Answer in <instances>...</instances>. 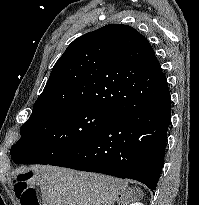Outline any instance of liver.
Here are the masks:
<instances>
[{
	"instance_id": "6515ba94",
	"label": "liver",
	"mask_w": 199,
	"mask_h": 205,
	"mask_svg": "<svg viewBox=\"0 0 199 205\" xmlns=\"http://www.w3.org/2000/svg\"><path fill=\"white\" fill-rule=\"evenodd\" d=\"M36 179L43 205H114L140 198L127 190V181L101 174L47 165L36 168Z\"/></svg>"
}]
</instances>
